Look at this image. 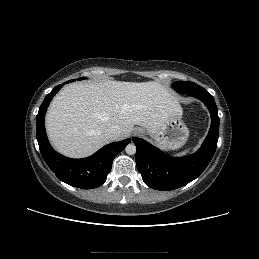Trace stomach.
<instances>
[{"instance_id": "stomach-1", "label": "stomach", "mask_w": 259, "mask_h": 259, "mask_svg": "<svg viewBox=\"0 0 259 259\" xmlns=\"http://www.w3.org/2000/svg\"><path fill=\"white\" fill-rule=\"evenodd\" d=\"M189 130L182 121V109L171 115L151 138L164 151L181 148L188 140Z\"/></svg>"}]
</instances>
